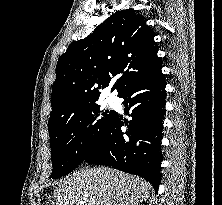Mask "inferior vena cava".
Wrapping results in <instances>:
<instances>
[{
	"label": "inferior vena cava",
	"instance_id": "obj_1",
	"mask_svg": "<svg viewBox=\"0 0 222 205\" xmlns=\"http://www.w3.org/2000/svg\"><path fill=\"white\" fill-rule=\"evenodd\" d=\"M108 205H112V202L110 201Z\"/></svg>",
	"mask_w": 222,
	"mask_h": 205
}]
</instances>
